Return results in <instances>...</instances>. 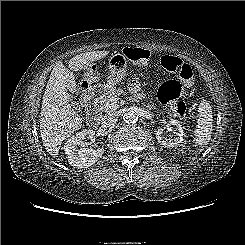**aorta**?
Here are the masks:
<instances>
[{"mask_svg": "<svg viewBox=\"0 0 245 245\" xmlns=\"http://www.w3.org/2000/svg\"><path fill=\"white\" fill-rule=\"evenodd\" d=\"M124 120L126 123H136L138 120V115L134 111H129L125 114Z\"/></svg>", "mask_w": 245, "mask_h": 245, "instance_id": "obj_1", "label": "aorta"}]
</instances>
